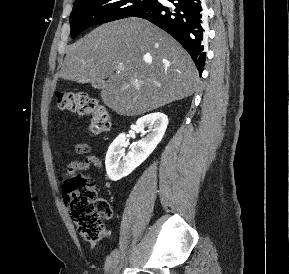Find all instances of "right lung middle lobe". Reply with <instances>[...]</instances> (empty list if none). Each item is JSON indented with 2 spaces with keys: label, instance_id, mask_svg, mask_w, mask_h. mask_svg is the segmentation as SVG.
<instances>
[{
  "label": "right lung middle lobe",
  "instance_id": "1",
  "mask_svg": "<svg viewBox=\"0 0 289 274\" xmlns=\"http://www.w3.org/2000/svg\"><path fill=\"white\" fill-rule=\"evenodd\" d=\"M155 0H75L70 15L71 36L90 26L136 16Z\"/></svg>",
  "mask_w": 289,
  "mask_h": 274
}]
</instances>
